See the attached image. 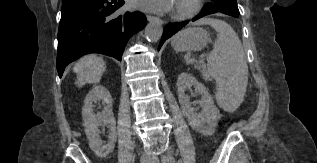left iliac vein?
Segmentation results:
<instances>
[{
  "instance_id": "obj_1",
  "label": "left iliac vein",
  "mask_w": 317,
  "mask_h": 163,
  "mask_svg": "<svg viewBox=\"0 0 317 163\" xmlns=\"http://www.w3.org/2000/svg\"><path fill=\"white\" fill-rule=\"evenodd\" d=\"M168 159L170 160L169 163H173V158L171 157L170 153H169ZM151 163H160V162H159V159L154 158Z\"/></svg>"
}]
</instances>
